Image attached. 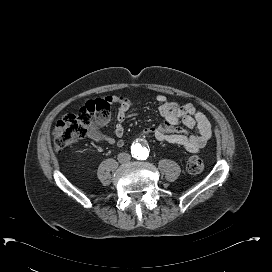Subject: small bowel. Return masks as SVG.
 I'll return each instance as SVG.
<instances>
[{"label":"small bowel","instance_id":"obj_1","mask_svg":"<svg viewBox=\"0 0 272 272\" xmlns=\"http://www.w3.org/2000/svg\"><path fill=\"white\" fill-rule=\"evenodd\" d=\"M106 99L114 104H118L115 126V137H111L96 129L89 132V137L98 143L111 146L122 147L124 145V127L122 123L128 117V110L132 102L122 96L109 95ZM159 105V113L163 118V123L158 126L144 129L143 135H151L160 142L182 146L190 153H197L208 142L211 136V124L206 116L198 111L192 104L179 105L175 101H168L164 94L156 96ZM183 124L188 128H197L198 135L193 136L177 127Z\"/></svg>","mask_w":272,"mask_h":272}]
</instances>
